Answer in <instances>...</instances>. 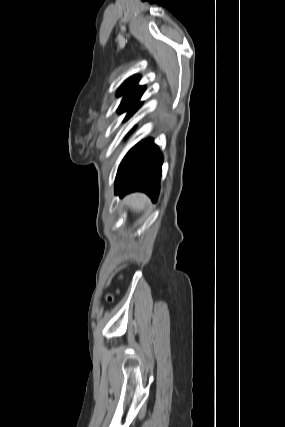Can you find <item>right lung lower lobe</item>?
Instances as JSON below:
<instances>
[{
	"label": "right lung lower lobe",
	"instance_id": "1",
	"mask_svg": "<svg viewBox=\"0 0 285 427\" xmlns=\"http://www.w3.org/2000/svg\"><path fill=\"white\" fill-rule=\"evenodd\" d=\"M162 163L163 156L152 139L138 143L127 153L119 166L115 194L122 197L133 191H143L156 201Z\"/></svg>",
	"mask_w": 285,
	"mask_h": 427
}]
</instances>
